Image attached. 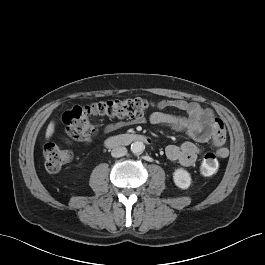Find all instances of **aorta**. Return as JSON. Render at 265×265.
I'll return each mask as SVG.
<instances>
[{
  "instance_id": "obj_1",
  "label": "aorta",
  "mask_w": 265,
  "mask_h": 265,
  "mask_svg": "<svg viewBox=\"0 0 265 265\" xmlns=\"http://www.w3.org/2000/svg\"><path fill=\"white\" fill-rule=\"evenodd\" d=\"M145 149V145L141 141H136L131 144V151L134 154H141Z\"/></svg>"
}]
</instances>
